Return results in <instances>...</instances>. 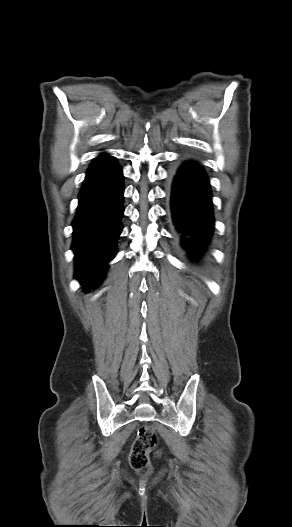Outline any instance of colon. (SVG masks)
<instances>
[{
	"mask_svg": "<svg viewBox=\"0 0 292 527\" xmlns=\"http://www.w3.org/2000/svg\"><path fill=\"white\" fill-rule=\"evenodd\" d=\"M157 444V436L150 425L142 426L130 452V464L138 472L147 474L151 469L149 453Z\"/></svg>",
	"mask_w": 292,
	"mask_h": 527,
	"instance_id": "colon-1",
	"label": "colon"
}]
</instances>
